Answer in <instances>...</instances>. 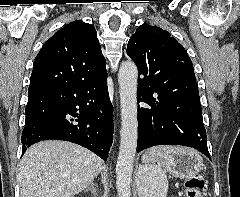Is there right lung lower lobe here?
I'll list each match as a JSON object with an SVG mask.
<instances>
[{
    "label": "right lung lower lobe",
    "mask_w": 240,
    "mask_h": 197,
    "mask_svg": "<svg viewBox=\"0 0 240 197\" xmlns=\"http://www.w3.org/2000/svg\"><path fill=\"white\" fill-rule=\"evenodd\" d=\"M22 155L43 140L77 143L106 161L113 140L107 73L80 83L57 82L28 91Z\"/></svg>",
    "instance_id": "98d812e1"
}]
</instances>
